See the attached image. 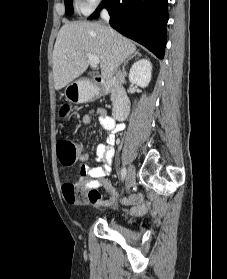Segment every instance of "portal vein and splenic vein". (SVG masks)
Listing matches in <instances>:
<instances>
[{
	"mask_svg": "<svg viewBox=\"0 0 227 279\" xmlns=\"http://www.w3.org/2000/svg\"><path fill=\"white\" fill-rule=\"evenodd\" d=\"M86 55H87V58L92 65H98L99 64L100 60L97 56L92 55L91 53H87Z\"/></svg>",
	"mask_w": 227,
	"mask_h": 279,
	"instance_id": "obj_1",
	"label": "portal vein and splenic vein"
}]
</instances>
